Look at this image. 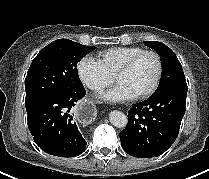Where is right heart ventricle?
I'll use <instances>...</instances> for the list:
<instances>
[{"instance_id":"obj_1","label":"right heart ventricle","mask_w":209,"mask_h":179,"mask_svg":"<svg viewBox=\"0 0 209 179\" xmlns=\"http://www.w3.org/2000/svg\"><path fill=\"white\" fill-rule=\"evenodd\" d=\"M143 50L144 49L139 46L111 47L100 51L97 54L96 59L104 71L113 77L116 71L129 58Z\"/></svg>"}]
</instances>
